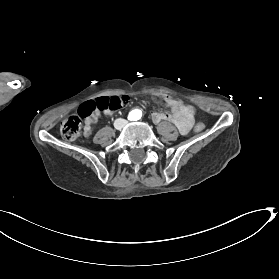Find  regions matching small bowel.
<instances>
[{
  "instance_id": "c3829d8e",
  "label": "small bowel",
  "mask_w": 279,
  "mask_h": 279,
  "mask_svg": "<svg viewBox=\"0 0 279 279\" xmlns=\"http://www.w3.org/2000/svg\"><path fill=\"white\" fill-rule=\"evenodd\" d=\"M162 102L171 108V114L164 112H153L152 119L158 123L160 121L168 120L175 124L178 131L182 135H186L192 129L194 119L193 116L188 113L184 104L167 95H161ZM113 111H105L106 115H110ZM100 111L96 110L85 118L84 121V135L89 136L92 132L93 125L100 118Z\"/></svg>"
}]
</instances>
